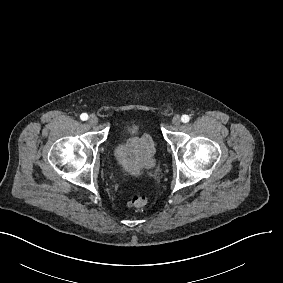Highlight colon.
Returning a JSON list of instances; mask_svg holds the SVG:
<instances>
[{
    "label": "colon",
    "instance_id": "obj_1",
    "mask_svg": "<svg viewBox=\"0 0 283 283\" xmlns=\"http://www.w3.org/2000/svg\"><path fill=\"white\" fill-rule=\"evenodd\" d=\"M129 204L134 208L142 209L147 204V198L143 194L136 193L131 196Z\"/></svg>",
    "mask_w": 283,
    "mask_h": 283
}]
</instances>
